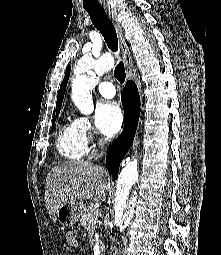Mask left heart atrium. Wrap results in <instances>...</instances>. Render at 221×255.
<instances>
[{
    "label": "left heart atrium",
    "instance_id": "left-heart-atrium-1",
    "mask_svg": "<svg viewBox=\"0 0 221 255\" xmlns=\"http://www.w3.org/2000/svg\"><path fill=\"white\" fill-rule=\"evenodd\" d=\"M96 126L100 132L113 135L122 125L123 114L119 104L105 102L97 107L95 115Z\"/></svg>",
    "mask_w": 221,
    "mask_h": 255
}]
</instances>
